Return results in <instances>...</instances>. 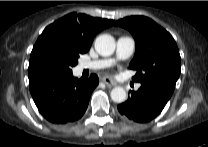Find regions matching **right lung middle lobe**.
Returning a JSON list of instances; mask_svg holds the SVG:
<instances>
[{
    "label": "right lung middle lobe",
    "mask_w": 208,
    "mask_h": 147,
    "mask_svg": "<svg viewBox=\"0 0 208 147\" xmlns=\"http://www.w3.org/2000/svg\"><path fill=\"white\" fill-rule=\"evenodd\" d=\"M78 53L70 51H60L48 58V68L51 75L71 74V68L78 63Z\"/></svg>",
    "instance_id": "dd1d6c3e"
}]
</instances>
